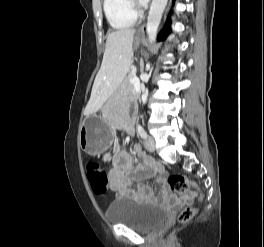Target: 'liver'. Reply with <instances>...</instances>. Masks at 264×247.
Listing matches in <instances>:
<instances>
[{
    "label": "liver",
    "mask_w": 264,
    "mask_h": 247,
    "mask_svg": "<svg viewBox=\"0 0 264 247\" xmlns=\"http://www.w3.org/2000/svg\"><path fill=\"white\" fill-rule=\"evenodd\" d=\"M134 29H120L107 35L101 68L95 78L85 114L97 112L123 81L131 65Z\"/></svg>",
    "instance_id": "1"
}]
</instances>
